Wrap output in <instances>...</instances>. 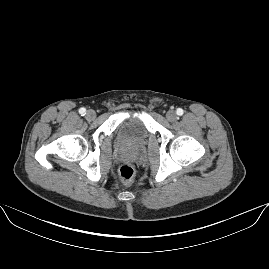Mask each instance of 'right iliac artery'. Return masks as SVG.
<instances>
[{"mask_svg":"<svg viewBox=\"0 0 269 269\" xmlns=\"http://www.w3.org/2000/svg\"><path fill=\"white\" fill-rule=\"evenodd\" d=\"M79 113L81 114V116H84L86 114V109L85 108H80Z\"/></svg>","mask_w":269,"mask_h":269,"instance_id":"1","label":"right iliac artery"}]
</instances>
